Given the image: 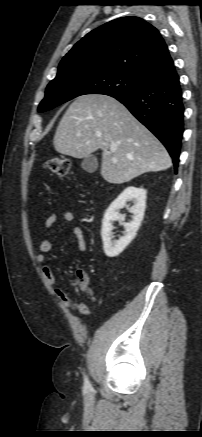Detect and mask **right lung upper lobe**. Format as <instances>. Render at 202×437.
Listing matches in <instances>:
<instances>
[{
    "instance_id": "1",
    "label": "right lung upper lobe",
    "mask_w": 202,
    "mask_h": 437,
    "mask_svg": "<svg viewBox=\"0 0 202 437\" xmlns=\"http://www.w3.org/2000/svg\"><path fill=\"white\" fill-rule=\"evenodd\" d=\"M172 64L159 31L139 17L129 16L85 35L61 60L57 76L81 70L117 72L145 80Z\"/></svg>"
}]
</instances>
